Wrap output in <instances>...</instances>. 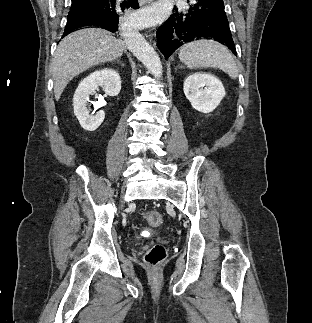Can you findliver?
Wrapping results in <instances>:
<instances>
[{"instance_id": "1", "label": "liver", "mask_w": 312, "mask_h": 323, "mask_svg": "<svg viewBox=\"0 0 312 323\" xmlns=\"http://www.w3.org/2000/svg\"><path fill=\"white\" fill-rule=\"evenodd\" d=\"M123 42L102 28H85L68 34L58 44L52 64L55 100L75 76L102 62L123 56Z\"/></svg>"}]
</instances>
